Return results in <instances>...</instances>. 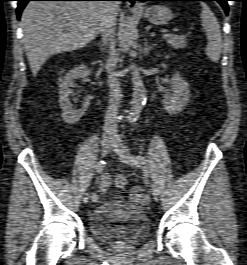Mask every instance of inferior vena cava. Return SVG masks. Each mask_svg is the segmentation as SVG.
Returning a JSON list of instances; mask_svg holds the SVG:
<instances>
[{"mask_svg": "<svg viewBox=\"0 0 247 265\" xmlns=\"http://www.w3.org/2000/svg\"><path fill=\"white\" fill-rule=\"evenodd\" d=\"M103 14L99 26V32L102 36V42L108 48L109 57L106 62V68L110 71L108 76L109 92V105L106 111L104 132L108 135L116 134V114L118 111L119 103L121 100L120 83L117 74L114 72L117 65L116 45L113 39V32L110 29L113 14L118 9V2L105 1L102 2Z\"/></svg>", "mask_w": 247, "mask_h": 265, "instance_id": "602c4592", "label": "inferior vena cava"}]
</instances>
